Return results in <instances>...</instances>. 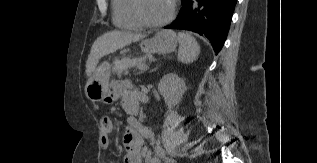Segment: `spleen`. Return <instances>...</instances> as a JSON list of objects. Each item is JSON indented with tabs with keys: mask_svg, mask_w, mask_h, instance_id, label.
Returning a JSON list of instances; mask_svg holds the SVG:
<instances>
[{
	"mask_svg": "<svg viewBox=\"0 0 317 163\" xmlns=\"http://www.w3.org/2000/svg\"><path fill=\"white\" fill-rule=\"evenodd\" d=\"M178 60L182 63H192L198 58L200 46L196 39L189 33H178Z\"/></svg>",
	"mask_w": 317,
	"mask_h": 163,
	"instance_id": "obj_1",
	"label": "spleen"
}]
</instances>
